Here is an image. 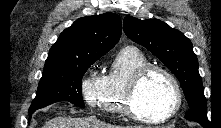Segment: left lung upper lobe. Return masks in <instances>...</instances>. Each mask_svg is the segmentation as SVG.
Segmentation results:
<instances>
[{
    "label": "left lung upper lobe",
    "instance_id": "left-lung-upper-lobe-1",
    "mask_svg": "<svg viewBox=\"0 0 221 128\" xmlns=\"http://www.w3.org/2000/svg\"><path fill=\"white\" fill-rule=\"evenodd\" d=\"M123 29L128 38L151 51L178 78L190 107L185 118L210 123L198 60L191 41L180 31L157 19L140 20L127 16Z\"/></svg>",
    "mask_w": 221,
    "mask_h": 128
}]
</instances>
